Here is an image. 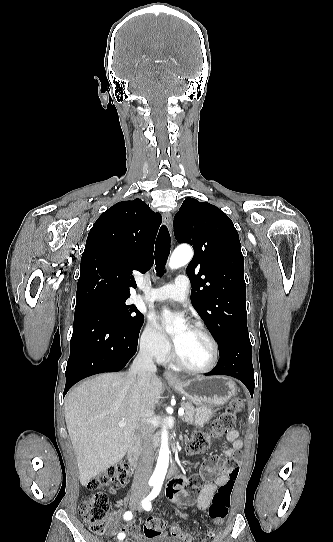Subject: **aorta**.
<instances>
[{"instance_id": "1", "label": "aorta", "mask_w": 333, "mask_h": 542, "mask_svg": "<svg viewBox=\"0 0 333 542\" xmlns=\"http://www.w3.org/2000/svg\"><path fill=\"white\" fill-rule=\"evenodd\" d=\"M187 250L188 252H183V250H181L180 248V250H175V252H173L169 260V268H171V270H178V268H182V266H185V264H188L189 260H191L193 256V252L191 248H187ZM163 316H165L167 320H171L173 326H175V324H179V320H173L170 310H166V308H164L163 310ZM168 464H169L168 432L166 428H163L161 448H160L156 468L151 476V482L154 488H161L165 480V476L167 474Z\"/></svg>"}]
</instances>
